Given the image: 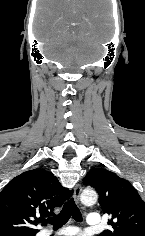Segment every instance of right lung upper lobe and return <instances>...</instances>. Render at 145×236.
Returning a JSON list of instances; mask_svg holds the SVG:
<instances>
[{
    "instance_id": "obj_1",
    "label": "right lung upper lobe",
    "mask_w": 145,
    "mask_h": 236,
    "mask_svg": "<svg viewBox=\"0 0 145 236\" xmlns=\"http://www.w3.org/2000/svg\"><path fill=\"white\" fill-rule=\"evenodd\" d=\"M71 194L44 169L16 176L0 193V236H35V226L45 225V218Z\"/></svg>"
}]
</instances>
